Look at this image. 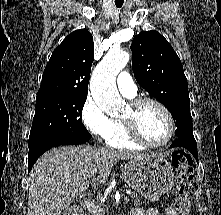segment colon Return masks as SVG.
<instances>
[{
    "label": "colon",
    "mask_w": 221,
    "mask_h": 215,
    "mask_svg": "<svg viewBox=\"0 0 221 215\" xmlns=\"http://www.w3.org/2000/svg\"><path fill=\"white\" fill-rule=\"evenodd\" d=\"M172 163L177 174L173 207L180 215H190L192 205L189 195L194 178L193 159L186 151L177 149L172 153Z\"/></svg>",
    "instance_id": "colon-1"
}]
</instances>
